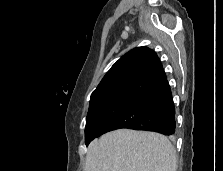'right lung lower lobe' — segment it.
<instances>
[{"instance_id": "98d812e1", "label": "right lung lower lobe", "mask_w": 223, "mask_h": 171, "mask_svg": "<svg viewBox=\"0 0 223 171\" xmlns=\"http://www.w3.org/2000/svg\"><path fill=\"white\" fill-rule=\"evenodd\" d=\"M175 108L166 80L140 93L100 132V135L121 128L154 131L164 135L175 132Z\"/></svg>"}]
</instances>
